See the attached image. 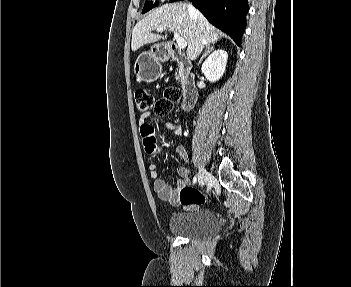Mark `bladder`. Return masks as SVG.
Wrapping results in <instances>:
<instances>
[{
	"instance_id": "31cf9c89",
	"label": "bladder",
	"mask_w": 351,
	"mask_h": 287,
	"mask_svg": "<svg viewBox=\"0 0 351 287\" xmlns=\"http://www.w3.org/2000/svg\"><path fill=\"white\" fill-rule=\"evenodd\" d=\"M220 229L217 215L205 209L173 213L169 230L181 237L204 239L215 235Z\"/></svg>"
}]
</instances>
